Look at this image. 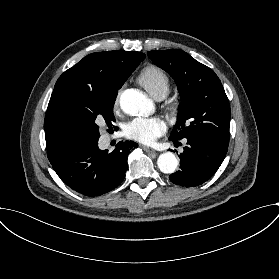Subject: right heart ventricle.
I'll use <instances>...</instances> for the list:
<instances>
[{"label": "right heart ventricle", "mask_w": 279, "mask_h": 279, "mask_svg": "<svg viewBox=\"0 0 279 279\" xmlns=\"http://www.w3.org/2000/svg\"><path fill=\"white\" fill-rule=\"evenodd\" d=\"M140 83L155 97L159 93H168L170 80L167 73L159 66L149 64L139 73Z\"/></svg>", "instance_id": "e07e8e85"}]
</instances>
